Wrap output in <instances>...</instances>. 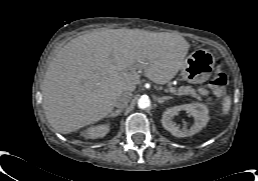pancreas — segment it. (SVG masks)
I'll use <instances>...</instances> for the list:
<instances>
[{
    "instance_id": "cf45deb5",
    "label": "pancreas",
    "mask_w": 258,
    "mask_h": 181,
    "mask_svg": "<svg viewBox=\"0 0 258 181\" xmlns=\"http://www.w3.org/2000/svg\"><path fill=\"white\" fill-rule=\"evenodd\" d=\"M174 90V94L176 95L191 96L193 98L201 100V96L196 92V90L192 86H181L178 89L174 88Z\"/></svg>"
}]
</instances>
